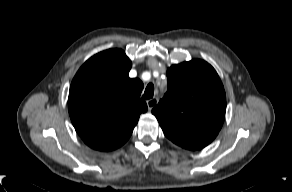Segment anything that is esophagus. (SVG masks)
<instances>
[{"instance_id": "34e87169", "label": "esophagus", "mask_w": 292, "mask_h": 192, "mask_svg": "<svg viewBox=\"0 0 292 192\" xmlns=\"http://www.w3.org/2000/svg\"><path fill=\"white\" fill-rule=\"evenodd\" d=\"M158 104L157 98H152L147 101V106L149 110H152Z\"/></svg>"}]
</instances>
